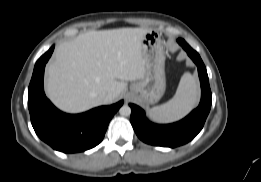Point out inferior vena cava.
Listing matches in <instances>:
<instances>
[{"mask_svg":"<svg viewBox=\"0 0 261 182\" xmlns=\"http://www.w3.org/2000/svg\"><path fill=\"white\" fill-rule=\"evenodd\" d=\"M109 97H110V94H107V95H106V98H109Z\"/></svg>","mask_w":261,"mask_h":182,"instance_id":"inferior-vena-cava-1","label":"inferior vena cava"}]
</instances>
